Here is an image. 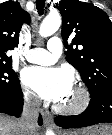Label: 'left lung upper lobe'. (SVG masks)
<instances>
[{
	"mask_svg": "<svg viewBox=\"0 0 112 135\" xmlns=\"http://www.w3.org/2000/svg\"><path fill=\"white\" fill-rule=\"evenodd\" d=\"M57 8L63 18L66 60L80 72L91 97L112 89V22L108 15L79 0H61ZM69 38H73L70 46Z\"/></svg>",
	"mask_w": 112,
	"mask_h": 135,
	"instance_id": "left-lung-upper-lobe-1",
	"label": "left lung upper lobe"
}]
</instances>
